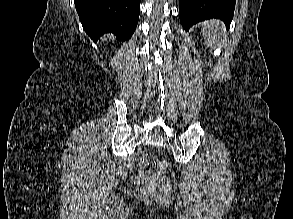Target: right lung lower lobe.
<instances>
[{
	"instance_id": "obj_1",
	"label": "right lung lower lobe",
	"mask_w": 293,
	"mask_h": 219,
	"mask_svg": "<svg viewBox=\"0 0 293 219\" xmlns=\"http://www.w3.org/2000/svg\"><path fill=\"white\" fill-rule=\"evenodd\" d=\"M85 32L97 41L104 33L128 40L140 13V0H74Z\"/></svg>"
}]
</instances>
